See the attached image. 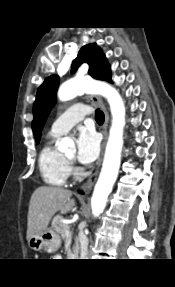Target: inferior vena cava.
<instances>
[{
	"mask_svg": "<svg viewBox=\"0 0 175 287\" xmlns=\"http://www.w3.org/2000/svg\"><path fill=\"white\" fill-rule=\"evenodd\" d=\"M79 239H80V256H81V259H86L87 252H88V238L83 232H80Z\"/></svg>",
	"mask_w": 175,
	"mask_h": 287,
	"instance_id": "obj_1",
	"label": "inferior vena cava"
}]
</instances>
